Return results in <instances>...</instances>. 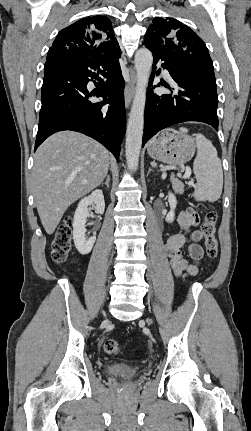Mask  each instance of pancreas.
Instances as JSON below:
<instances>
[{
	"mask_svg": "<svg viewBox=\"0 0 251 431\" xmlns=\"http://www.w3.org/2000/svg\"><path fill=\"white\" fill-rule=\"evenodd\" d=\"M171 183H172V187L173 190L175 191V193L177 194H183L184 193V184L176 179V178H171Z\"/></svg>",
	"mask_w": 251,
	"mask_h": 431,
	"instance_id": "cf45deb5",
	"label": "pancreas"
}]
</instances>
